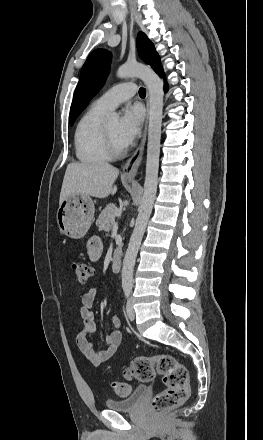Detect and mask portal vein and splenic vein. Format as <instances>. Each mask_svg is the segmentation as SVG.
<instances>
[{
    "mask_svg": "<svg viewBox=\"0 0 263 440\" xmlns=\"http://www.w3.org/2000/svg\"><path fill=\"white\" fill-rule=\"evenodd\" d=\"M115 214H116V216H120L121 215V210L116 211ZM112 225H113V227L117 226V224L115 222Z\"/></svg>",
    "mask_w": 263,
    "mask_h": 440,
    "instance_id": "portal-vein-and-splenic-vein-1",
    "label": "portal vein and splenic vein"
}]
</instances>
